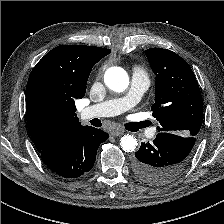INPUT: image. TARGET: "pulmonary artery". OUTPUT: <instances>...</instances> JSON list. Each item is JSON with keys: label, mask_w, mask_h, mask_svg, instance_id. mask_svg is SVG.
<instances>
[{"label": "pulmonary artery", "mask_w": 224, "mask_h": 224, "mask_svg": "<svg viewBox=\"0 0 224 224\" xmlns=\"http://www.w3.org/2000/svg\"><path fill=\"white\" fill-rule=\"evenodd\" d=\"M149 84L148 76L141 71H136L132 75L131 86L125 96L84 107L80 110V117L82 120H87L94 117L120 115L133 108L140 101ZM155 133L156 129L153 128L152 134Z\"/></svg>", "instance_id": "e3ab8cb5"}]
</instances>
